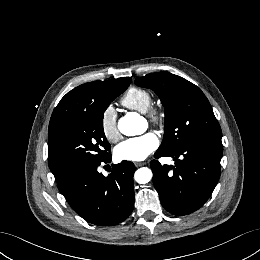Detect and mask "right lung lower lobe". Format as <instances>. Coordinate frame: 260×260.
<instances>
[{
  "mask_svg": "<svg viewBox=\"0 0 260 260\" xmlns=\"http://www.w3.org/2000/svg\"><path fill=\"white\" fill-rule=\"evenodd\" d=\"M110 161L111 154L98 163L73 169L57 182L73 210L86 221L100 226L124 221L134 207V164L122 161L112 165L111 173L105 177L97 168Z\"/></svg>",
  "mask_w": 260,
  "mask_h": 260,
  "instance_id": "1",
  "label": "right lung lower lobe"
}]
</instances>
